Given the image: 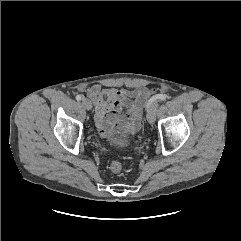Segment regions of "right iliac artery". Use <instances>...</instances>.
I'll return each mask as SVG.
<instances>
[{
	"instance_id": "1",
	"label": "right iliac artery",
	"mask_w": 241,
	"mask_h": 241,
	"mask_svg": "<svg viewBox=\"0 0 241 241\" xmlns=\"http://www.w3.org/2000/svg\"><path fill=\"white\" fill-rule=\"evenodd\" d=\"M82 99V96L81 95H77L76 96V100L80 101Z\"/></svg>"
}]
</instances>
